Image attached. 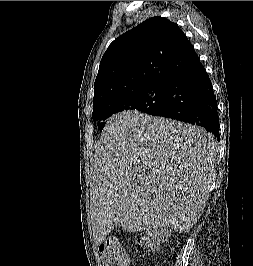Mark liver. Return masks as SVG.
<instances>
[{
  "mask_svg": "<svg viewBox=\"0 0 253 266\" xmlns=\"http://www.w3.org/2000/svg\"><path fill=\"white\" fill-rule=\"evenodd\" d=\"M217 144L204 129L124 111L112 116L91 163V222L99 246L114 227L183 233L202 215Z\"/></svg>",
  "mask_w": 253,
  "mask_h": 266,
  "instance_id": "6515ba94",
  "label": "liver"
}]
</instances>
